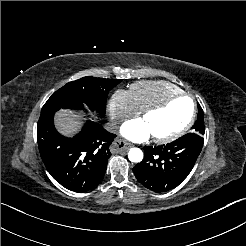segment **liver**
<instances>
[{"instance_id": "obj_1", "label": "liver", "mask_w": 246, "mask_h": 246, "mask_svg": "<svg viewBox=\"0 0 246 246\" xmlns=\"http://www.w3.org/2000/svg\"><path fill=\"white\" fill-rule=\"evenodd\" d=\"M55 122L59 131L69 136L78 130L80 118L70 110H60L56 114Z\"/></svg>"}]
</instances>
